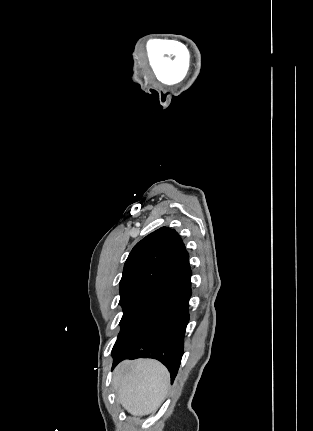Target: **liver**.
Instances as JSON below:
<instances>
[{
    "mask_svg": "<svg viewBox=\"0 0 313 431\" xmlns=\"http://www.w3.org/2000/svg\"><path fill=\"white\" fill-rule=\"evenodd\" d=\"M170 375L165 366L152 359L126 360L113 377L118 401L134 416L155 412L166 397Z\"/></svg>",
    "mask_w": 313,
    "mask_h": 431,
    "instance_id": "obj_1",
    "label": "liver"
}]
</instances>
